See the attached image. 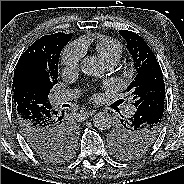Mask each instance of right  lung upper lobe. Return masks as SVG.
<instances>
[{"label": "right lung upper lobe", "mask_w": 184, "mask_h": 184, "mask_svg": "<svg viewBox=\"0 0 184 184\" xmlns=\"http://www.w3.org/2000/svg\"><path fill=\"white\" fill-rule=\"evenodd\" d=\"M72 37V33H55L35 41L20 57L13 78V91L20 82L34 74L44 76L52 83L56 80L55 55L62 51ZM58 78V77H57Z\"/></svg>", "instance_id": "1"}]
</instances>
